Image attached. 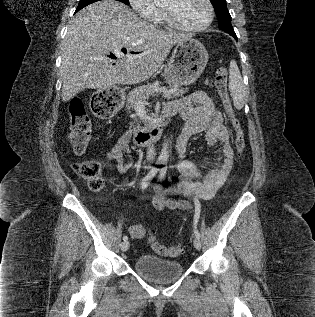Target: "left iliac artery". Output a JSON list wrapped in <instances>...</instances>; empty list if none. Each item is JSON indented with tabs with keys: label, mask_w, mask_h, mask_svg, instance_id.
I'll return each instance as SVG.
<instances>
[{
	"label": "left iliac artery",
	"mask_w": 315,
	"mask_h": 317,
	"mask_svg": "<svg viewBox=\"0 0 315 317\" xmlns=\"http://www.w3.org/2000/svg\"><path fill=\"white\" fill-rule=\"evenodd\" d=\"M166 174V167H162L160 170V178H164ZM200 208H201V204L198 200H195V215H194V234L197 238H200V233L197 229V222L199 219V215H200Z\"/></svg>",
	"instance_id": "1"
}]
</instances>
